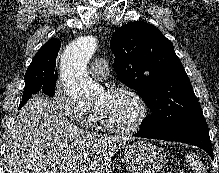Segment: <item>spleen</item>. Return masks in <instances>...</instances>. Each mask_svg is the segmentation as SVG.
<instances>
[{"instance_id": "spleen-1", "label": "spleen", "mask_w": 219, "mask_h": 173, "mask_svg": "<svg viewBox=\"0 0 219 173\" xmlns=\"http://www.w3.org/2000/svg\"><path fill=\"white\" fill-rule=\"evenodd\" d=\"M188 162L190 166L196 171V173H201L205 171V169L197 162L195 155H187Z\"/></svg>"}]
</instances>
